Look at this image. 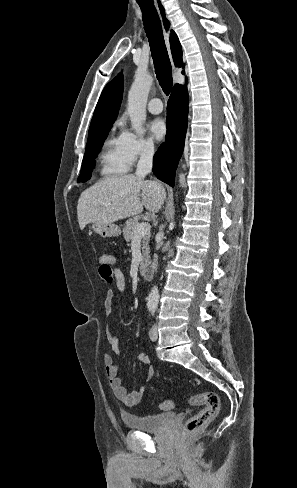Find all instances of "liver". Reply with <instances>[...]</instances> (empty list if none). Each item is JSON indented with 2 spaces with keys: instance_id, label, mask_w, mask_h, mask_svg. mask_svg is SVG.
Here are the masks:
<instances>
[{
  "instance_id": "obj_1",
  "label": "liver",
  "mask_w": 297,
  "mask_h": 488,
  "mask_svg": "<svg viewBox=\"0 0 297 488\" xmlns=\"http://www.w3.org/2000/svg\"><path fill=\"white\" fill-rule=\"evenodd\" d=\"M166 198L164 187L137 175L108 177L84 190L78 200L81 230L88 223L110 224L142 213L155 214Z\"/></svg>"
}]
</instances>
